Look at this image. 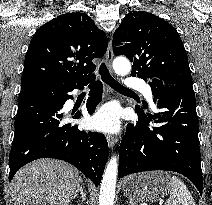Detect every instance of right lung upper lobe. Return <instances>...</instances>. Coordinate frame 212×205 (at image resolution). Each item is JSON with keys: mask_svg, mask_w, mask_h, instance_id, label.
I'll list each match as a JSON object with an SVG mask.
<instances>
[{"mask_svg": "<svg viewBox=\"0 0 212 205\" xmlns=\"http://www.w3.org/2000/svg\"><path fill=\"white\" fill-rule=\"evenodd\" d=\"M106 35L84 13H66L42 25L25 56L21 89L45 82L82 81L92 77V59L102 57Z\"/></svg>", "mask_w": 212, "mask_h": 205, "instance_id": "right-lung-upper-lobe-1", "label": "right lung upper lobe"}]
</instances>
